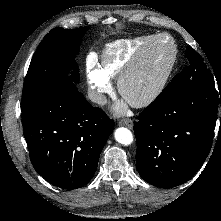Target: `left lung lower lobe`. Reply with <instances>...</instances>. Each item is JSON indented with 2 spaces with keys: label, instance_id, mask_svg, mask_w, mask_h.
Masks as SVG:
<instances>
[{
  "label": "left lung lower lobe",
  "instance_id": "0a47b994",
  "mask_svg": "<svg viewBox=\"0 0 221 221\" xmlns=\"http://www.w3.org/2000/svg\"><path fill=\"white\" fill-rule=\"evenodd\" d=\"M219 103L220 88L210 81L162 91L134 125L140 176L157 187L188 181L210 152Z\"/></svg>",
  "mask_w": 221,
  "mask_h": 221
}]
</instances>
